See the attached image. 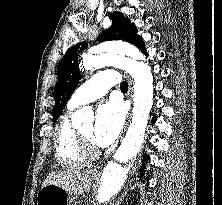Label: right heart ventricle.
<instances>
[{"label":"right heart ventricle","mask_w":222,"mask_h":205,"mask_svg":"<svg viewBox=\"0 0 222 205\" xmlns=\"http://www.w3.org/2000/svg\"><path fill=\"white\" fill-rule=\"evenodd\" d=\"M72 110L68 107V111L58 123L55 134L54 154L60 165L69 168H79L85 164L87 159L81 152L76 130L70 121Z\"/></svg>","instance_id":"1"}]
</instances>
